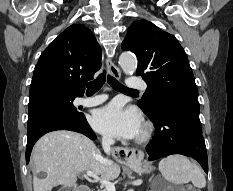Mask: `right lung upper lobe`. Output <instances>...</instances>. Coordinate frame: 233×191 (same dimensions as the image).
<instances>
[{"label": "right lung upper lobe", "instance_id": "cb5924a9", "mask_svg": "<svg viewBox=\"0 0 233 191\" xmlns=\"http://www.w3.org/2000/svg\"><path fill=\"white\" fill-rule=\"evenodd\" d=\"M101 48L84 25L65 29L41 54L30 85V97L55 91L81 96L84 85L100 67Z\"/></svg>", "mask_w": 233, "mask_h": 191}]
</instances>
